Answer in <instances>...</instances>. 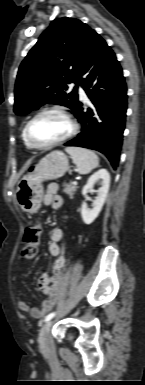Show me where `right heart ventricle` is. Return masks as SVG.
<instances>
[{"mask_svg":"<svg viewBox=\"0 0 145 385\" xmlns=\"http://www.w3.org/2000/svg\"><path fill=\"white\" fill-rule=\"evenodd\" d=\"M22 138H23V141H24L25 146H26L27 148H30V147L27 145L26 141H25V138H24V130H23V132H22Z\"/></svg>","mask_w":145,"mask_h":385,"instance_id":"1","label":"right heart ventricle"}]
</instances>
